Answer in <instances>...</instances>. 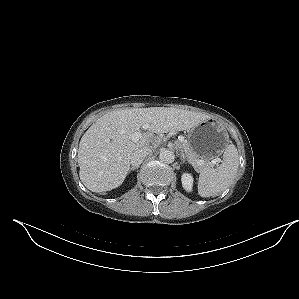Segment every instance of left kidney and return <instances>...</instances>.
<instances>
[{
	"label": "left kidney",
	"instance_id": "left-kidney-1",
	"mask_svg": "<svg viewBox=\"0 0 299 299\" xmlns=\"http://www.w3.org/2000/svg\"><path fill=\"white\" fill-rule=\"evenodd\" d=\"M181 181H182L183 188L186 191L190 192L193 187V177L188 173H184L182 175Z\"/></svg>",
	"mask_w": 299,
	"mask_h": 299
}]
</instances>
